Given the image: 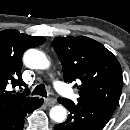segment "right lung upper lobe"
Wrapping results in <instances>:
<instances>
[{"instance_id":"obj_1","label":"right lung upper lobe","mask_w":130,"mask_h":130,"mask_svg":"<svg viewBox=\"0 0 130 130\" xmlns=\"http://www.w3.org/2000/svg\"><path fill=\"white\" fill-rule=\"evenodd\" d=\"M46 41L43 37L20 34L17 30L0 31V114L30 105L38 98L24 92L10 91L9 87H27L21 76L22 55L30 47Z\"/></svg>"}]
</instances>
